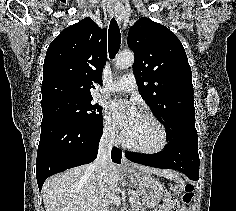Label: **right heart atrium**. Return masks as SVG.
Listing matches in <instances>:
<instances>
[{"instance_id":"right-heart-atrium-1","label":"right heart atrium","mask_w":236,"mask_h":211,"mask_svg":"<svg viewBox=\"0 0 236 211\" xmlns=\"http://www.w3.org/2000/svg\"><path fill=\"white\" fill-rule=\"evenodd\" d=\"M102 131L104 139L110 143H118L121 140L115 125L108 119L104 121Z\"/></svg>"}]
</instances>
